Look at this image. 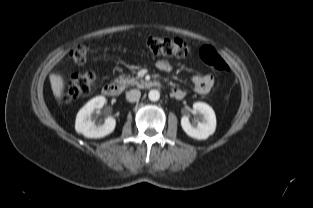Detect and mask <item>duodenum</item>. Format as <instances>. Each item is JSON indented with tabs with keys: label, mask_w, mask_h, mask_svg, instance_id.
<instances>
[{
	"label": "duodenum",
	"mask_w": 313,
	"mask_h": 208,
	"mask_svg": "<svg viewBox=\"0 0 313 208\" xmlns=\"http://www.w3.org/2000/svg\"><path fill=\"white\" fill-rule=\"evenodd\" d=\"M161 83L157 81H150L141 79L138 81V87L141 89H150L152 87H160ZM102 92L109 97H116L121 93V86L118 83L110 82L103 86Z\"/></svg>",
	"instance_id": "1"
}]
</instances>
